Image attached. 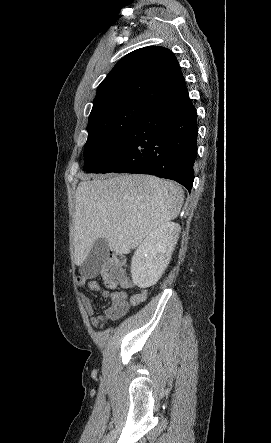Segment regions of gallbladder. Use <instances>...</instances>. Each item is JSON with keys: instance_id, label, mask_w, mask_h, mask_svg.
Here are the masks:
<instances>
[{"instance_id": "bac80fb5", "label": "gallbladder", "mask_w": 271, "mask_h": 443, "mask_svg": "<svg viewBox=\"0 0 271 443\" xmlns=\"http://www.w3.org/2000/svg\"><path fill=\"white\" fill-rule=\"evenodd\" d=\"M109 243L103 237H99L87 255L82 265H79V271L84 278H95L97 273H103L105 261L109 259Z\"/></svg>"}]
</instances>
